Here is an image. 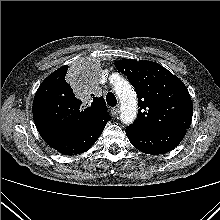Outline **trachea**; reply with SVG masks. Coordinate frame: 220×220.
<instances>
[{"label": "trachea", "mask_w": 220, "mask_h": 220, "mask_svg": "<svg viewBox=\"0 0 220 220\" xmlns=\"http://www.w3.org/2000/svg\"><path fill=\"white\" fill-rule=\"evenodd\" d=\"M106 101L108 103L109 106L114 107L117 105V99L115 97V95L112 92H109L106 95Z\"/></svg>", "instance_id": "3493384b"}]
</instances>
